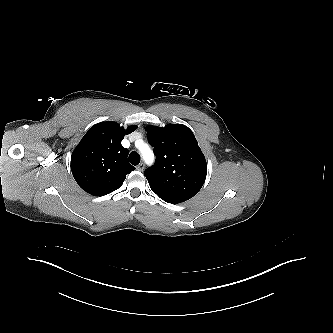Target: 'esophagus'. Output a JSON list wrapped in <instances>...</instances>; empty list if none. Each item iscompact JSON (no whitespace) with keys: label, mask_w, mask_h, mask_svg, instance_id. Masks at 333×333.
<instances>
[{"label":"esophagus","mask_w":333,"mask_h":333,"mask_svg":"<svg viewBox=\"0 0 333 333\" xmlns=\"http://www.w3.org/2000/svg\"><path fill=\"white\" fill-rule=\"evenodd\" d=\"M136 169H137L138 171H143V170H144V164H143V163L138 164V165L136 166Z\"/></svg>","instance_id":"obj_1"}]
</instances>
